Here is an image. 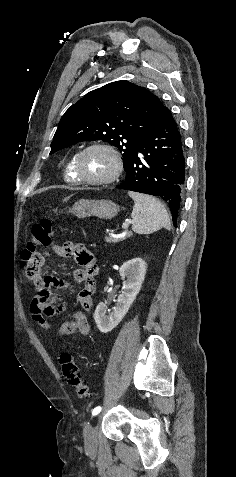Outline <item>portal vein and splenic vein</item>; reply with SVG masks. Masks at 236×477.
I'll return each instance as SVG.
<instances>
[{
  "instance_id": "18ae733b",
  "label": "portal vein and splenic vein",
  "mask_w": 236,
  "mask_h": 477,
  "mask_svg": "<svg viewBox=\"0 0 236 477\" xmlns=\"http://www.w3.org/2000/svg\"><path fill=\"white\" fill-rule=\"evenodd\" d=\"M128 226H129V224L125 222V223H123V225H122V229H123V230H127Z\"/></svg>"
}]
</instances>
